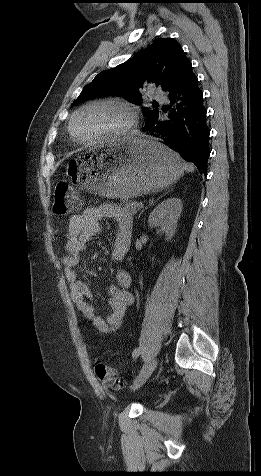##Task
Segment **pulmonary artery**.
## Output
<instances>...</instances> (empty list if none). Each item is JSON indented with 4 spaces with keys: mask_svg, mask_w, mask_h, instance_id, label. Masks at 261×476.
Masks as SVG:
<instances>
[{
    "mask_svg": "<svg viewBox=\"0 0 261 476\" xmlns=\"http://www.w3.org/2000/svg\"><path fill=\"white\" fill-rule=\"evenodd\" d=\"M152 96L157 101H161V102L166 101V97L164 96L163 92H161L160 90L154 89L152 91Z\"/></svg>",
    "mask_w": 261,
    "mask_h": 476,
    "instance_id": "1",
    "label": "pulmonary artery"
}]
</instances>
